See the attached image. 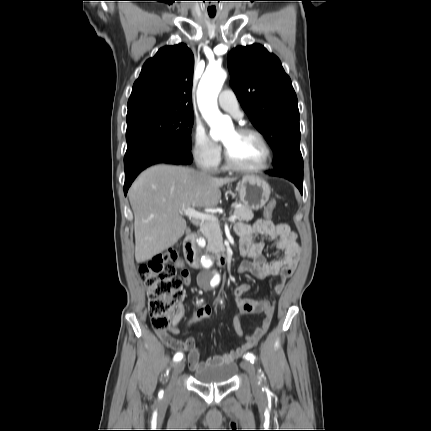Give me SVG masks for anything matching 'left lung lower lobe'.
<instances>
[{
	"instance_id": "1",
	"label": "left lung lower lobe",
	"mask_w": 431,
	"mask_h": 431,
	"mask_svg": "<svg viewBox=\"0 0 431 431\" xmlns=\"http://www.w3.org/2000/svg\"><path fill=\"white\" fill-rule=\"evenodd\" d=\"M272 176H279L292 181L297 188L303 193V167L294 164H286L283 167L266 172Z\"/></svg>"
}]
</instances>
